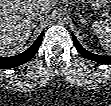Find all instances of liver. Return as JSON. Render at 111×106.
<instances>
[{
	"mask_svg": "<svg viewBox=\"0 0 111 106\" xmlns=\"http://www.w3.org/2000/svg\"><path fill=\"white\" fill-rule=\"evenodd\" d=\"M55 3L53 0H1L0 54L7 56L19 51L36 27V10L49 11Z\"/></svg>",
	"mask_w": 111,
	"mask_h": 106,
	"instance_id": "1",
	"label": "liver"
}]
</instances>
